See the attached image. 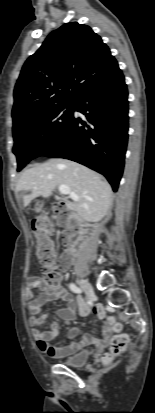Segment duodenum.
Returning a JSON list of instances; mask_svg holds the SVG:
<instances>
[{"mask_svg":"<svg viewBox=\"0 0 155 413\" xmlns=\"http://www.w3.org/2000/svg\"><path fill=\"white\" fill-rule=\"evenodd\" d=\"M63 204L66 205V206H70V203L68 201H64ZM88 234H89V232L86 233V235H88ZM77 249H78V246H71V247L68 248V253L70 255H74V254H76Z\"/></svg>","mask_w":155,"mask_h":413,"instance_id":"1","label":"duodenum"}]
</instances>
